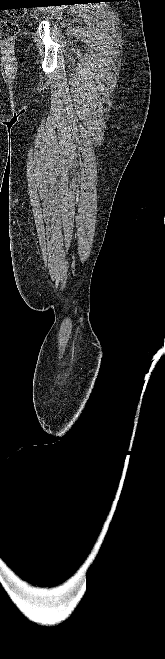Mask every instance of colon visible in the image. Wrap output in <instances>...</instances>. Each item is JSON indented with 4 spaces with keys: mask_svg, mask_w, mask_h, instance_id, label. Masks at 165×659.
Masks as SVG:
<instances>
[{
    "mask_svg": "<svg viewBox=\"0 0 165 659\" xmlns=\"http://www.w3.org/2000/svg\"><path fill=\"white\" fill-rule=\"evenodd\" d=\"M18 26L9 20L0 19V41H11L18 34Z\"/></svg>",
    "mask_w": 165,
    "mask_h": 659,
    "instance_id": "obj_1",
    "label": "colon"
}]
</instances>
